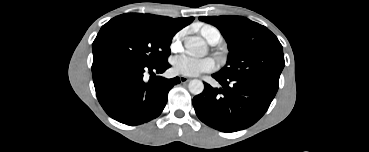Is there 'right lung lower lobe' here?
Masks as SVG:
<instances>
[{"label":"right lung lower lobe","mask_w":369,"mask_h":152,"mask_svg":"<svg viewBox=\"0 0 369 152\" xmlns=\"http://www.w3.org/2000/svg\"><path fill=\"white\" fill-rule=\"evenodd\" d=\"M170 67L163 63L144 66L132 63H113L93 71L97 98L105 112L113 119L139 125L158 117L163 111L172 87L180 79L155 76ZM146 72L150 80L143 79Z\"/></svg>","instance_id":"obj_1"}]
</instances>
